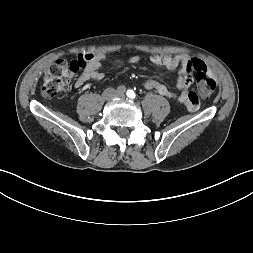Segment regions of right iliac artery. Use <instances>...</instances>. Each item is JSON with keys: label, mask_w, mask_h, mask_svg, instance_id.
Wrapping results in <instances>:
<instances>
[{"label": "right iliac artery", "mask_w": 253, "mask_h": 253, "mask_svg": "<svg viewBox=\"0 0 253 253\" xmlns=\"http://www.w3.org/2000/svg\"><path fill=\"white\" fill-rule=\"evenodd\" d=\"M125 92V87L124 86H119L117 88V93H124Z\"/></svg>", "instance_id": "82829eb1"}]
</instances>
